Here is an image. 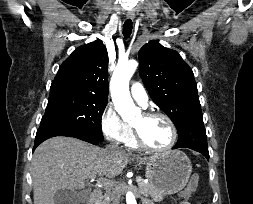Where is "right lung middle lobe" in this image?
I'll use <instances>...</instances> for the list:
<instances>
[{
    "mask_svg": "<svg viewBox=\"0 0 253 204\" xmlns=\"http://www.w3.org/2000/svg\"><path fill=\"white\" fill-rule=\"evenodd\" d=\"M107 100L78 89L51 87L40 126L76 130L102 141L101 118Z\"/></svg>",
    "mask_w": 253,
    "mask_h": 204,
    "instance_id": "dd1d6c3e",
    "label": "right lung middle lobe"
}]
</instances>
